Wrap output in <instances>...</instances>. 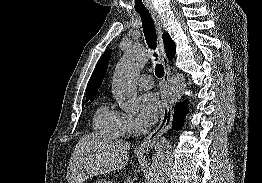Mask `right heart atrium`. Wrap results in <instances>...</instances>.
I'll return each mask as SVG.
<instances>
[{
  "mask_svg": "<svg viewBox=\"0 0 262 183\" xmlns=\"http://www.w3.org/2000/svg\"><path fill=\"white\" fill-rule=\"evenodd\" d=\"M123 124L126 133L134 134L138 131V123L136 119L130 114L123 113Z\"/></svg>",
  "mask_w": 262,
  "mask_h": 183,
  "instance_id": "right-heart-atrium-1",
  "label": "right heart atrium"
}]
</instances>
